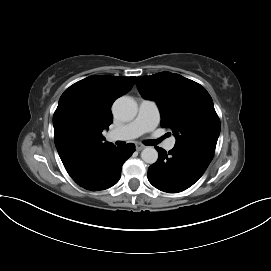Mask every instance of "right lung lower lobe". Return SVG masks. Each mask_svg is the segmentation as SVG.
Wrapping results in <instances>:
<instances>
[{"label":"right lung lower lobe","instance_id":"right-lung-lower-lobe-1","mask_svg":"<svg viewBox=\"0 0 271 271\" xmlns=\"http://www.w3.org/2000/svg\"><path fill=\"white\" fill-rule=\"evenodd\" d=\"M135 145L108 148L96 161L84 168L72 179L81 187L98 191L115 185L121 177L123 163L132 156Z\"/></svg>","mask_w":271,"mask_h":271}]
</instances>
